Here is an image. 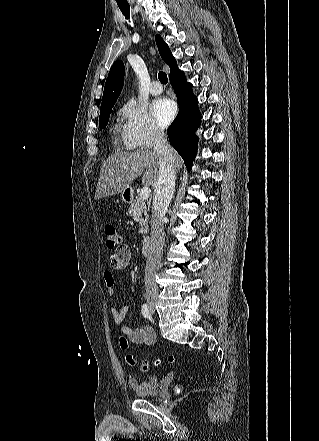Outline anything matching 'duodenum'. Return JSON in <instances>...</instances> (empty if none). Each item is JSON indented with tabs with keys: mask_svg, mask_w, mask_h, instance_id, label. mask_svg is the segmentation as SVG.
<instances>
[{
	"mask_svg": "<svg viewBox=\"0 0 319 441\" xmlns=\"http://www.w3.org/2000/svg\"><path fill=\"white\" fill-rule=\"evenodd\" d=\"M125 199L127 201H130L131 199V193L130 191H126L125 194ZM153 250V243L150 237H145L142 242H141V252L145 257H149L152 253Z\"/></svg>",
	"mask_w": 319,
	"mask_h": 441,
	"instance_id": "410a0bca",
	"label": "duodenum"
}]
</instances>
